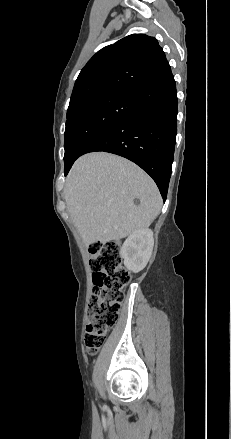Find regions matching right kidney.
Wrapping results in <instances>:
<instances>
[{
  "instance_id": "obj_1",
  "label": "right kidney",
  "mask_w": 231,
  "mask_h": 439,
  "mask_svg": "<svg viewBox=\"0 0 231 439\" xmlns=\"http://www.w3.org/2000/svg\"><path fill=\"white\" fill-rule=\"evenodd\" d=\"M154 246L153 232L146 228L134 231L124 242L120 254L125 266L139 272L145 268Z\"/></svg>"
}]
</instances>
